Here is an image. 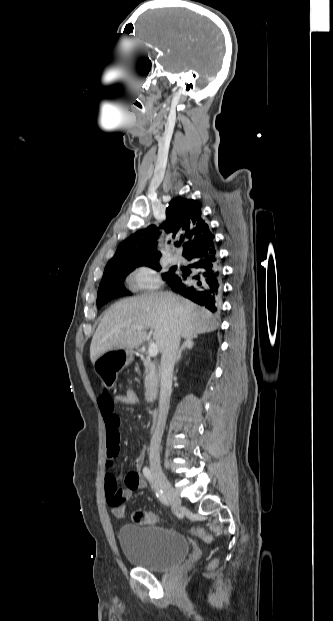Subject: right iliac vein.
<instances>
[{
    "label": "right iliac vein",
    "instance_id": "63e3f726",
    "mask_svg": "<svg viewBox=\"0 0 333 621\" xmlns=\"http://www.w3.org/2000/svg\"><path fill=\"white\" fill-rule=\"evenodd\" d=\"M152 471H153L157 484L164 491L170 503L172 504L173 508L175 510H178L181 506V499L178 493L172 487L169 480L167 479V477L165 476V474L163 473L162 469L159 466L153 465Z\"/></svg>",
    "mask_w": 333,
    "mask_h": 621
}]
</instances>
